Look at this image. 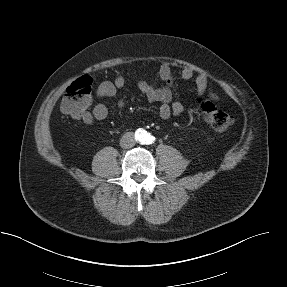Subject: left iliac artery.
<instances>
[{"label": "left iliac artery", "instance_id": "left-iliac-artery-1", "mask_svg": "<svg viewBox=\"0 0 287 287\" xmlns=\"http://www.w3.org/2000/svg\"><path fill=\"white\" fill-rule=\"evenodd\" d=\"M144 141H145L146 144H152L155 141V137L151 136L150 134H147L145 136Z\"/></svg>", "mask_w": 287, "mask_h": 287}]
</instances>
